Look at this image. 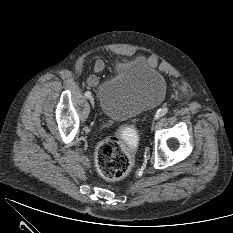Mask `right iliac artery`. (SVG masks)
Instances as JSON below:
<instances>
[{"label": "right iliac artery", "instance_id": "right-iliac-artery-1", "mask_svg": "<svg viewBox=\"0 0 233 233\" xmlns=\"http://www.w3.org/2000/svg\"><path fill=\"white\" fill-rule=\"evenodd\" d=\"M90 96H91V92L86 91V92H85V97L89 98Z\"/></svg>", "mask_w": 233, "mask_h": 233}]
</instances>
